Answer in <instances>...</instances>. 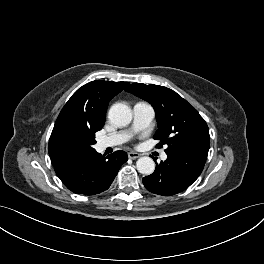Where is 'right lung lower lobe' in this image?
Wrapping results in <instances>:
<instances>
[{
	"instance_id": "98d812e1",
	"label": "right lung lower lobe",
	"mask_w": 264,
	"mask_h": 264,
	"mask_svg": "<svg viewBox=\"0 0 264 264\" xmlns=\"http://www.w3.org/2000/svg\"><path fill=\"white\" fill-rule=\"evenodd\" d=\"M127 160L128 156L124 151H116L107 157L93 151L53 166L69 190L77 194L95 195L109 188L120 167Z\"/></svg>"
}]
</instances>
